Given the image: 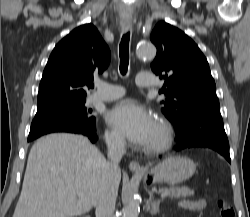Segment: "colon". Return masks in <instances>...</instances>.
<instances>
[{"instance_id": "5ec220e1", "label": "colon", "mask_w": 250, "mask_h": 217, "mask_svg": "<svg viewBox=\"0 0 250 217\" xmlns=\"http://www.w3.org/2000/svg\"><path fill=\"white\" fill-rule=\"evenodd\" d=\"M217 207L219 211V217H234L235 212L231 206L229 200L224 197H220L217 200Z\"/></svg>"}]
</instances>
